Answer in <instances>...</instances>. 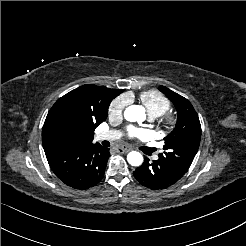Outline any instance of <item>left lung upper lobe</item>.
Wrapping results in <instances>:
<instances>
[{"mask_svg":"<svg viewBox=\"0 0 246 246\" xmlns=\"http://www.w3.org/2000/svg\"><path fill=\"white\" fill-rule=\"evenodd\" d=\"M159 90L173 102L178 114L176 127L164 138L163 149L165 151L159 154V159L184 175L199 148L200 121L193 106L186 98L164 86H160Z\"/></svg>","mask_w":246,"mask_h":246,"instance_id":"obj_1","label":"left lung upper lobe"}]
</instances>
